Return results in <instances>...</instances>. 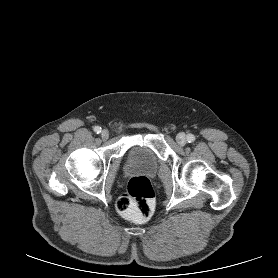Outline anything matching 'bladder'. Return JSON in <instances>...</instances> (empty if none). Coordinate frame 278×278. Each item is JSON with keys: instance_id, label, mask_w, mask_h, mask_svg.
Returning <instances> with one entry per match:
<instances>
[{"instance_id": "1", "label": "bladder", "mask_w": 278, "mask_h": 278, "mask_svg": "<svg viewBox=\"0 0 278 278\" xmlns=\"http://www.w3.org/2000/svg\"><path fill=\"white\" fill-rule=\"evenodd\" d=\"M124 168L130 174L141 172L154 175L159 168V158L150 146L134 144L126 152Z\"/></svg>"}]
</instances>
